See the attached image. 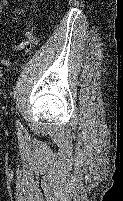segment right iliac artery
<instances>
[{"label": "right iliac artery", "mask_w": 123, "mask_h": 201, "mask_svg": "<svg viewBox=\"0 0 123 201\" xmlns=\"http://www.w3.org/2000/svg\"><path fill=\"white\" fill-rule=\"evenodd\" d=\"M17 127H18V130H20L22 128V125L19 121H17Z\"/></svg>", "instance_id": "obj_1"}]
</instances>
